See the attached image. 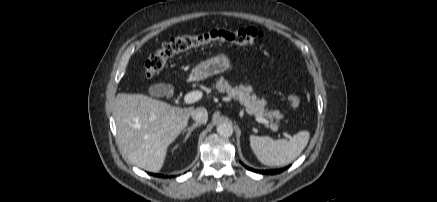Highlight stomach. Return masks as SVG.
<instances>
[{
    "label": "stomach",
    "instance_id": "obj_1",
    "mask_svg": "<svg viewBox=\"0 0 437 202\" xmlns=\"http://www.w3.org/2000/svg\"><path fill=\"white\" fill-rule=\"evenodd\" d=\"M230 60L224 54L200 62L191 72V79L202 80L215 74L223 73L229 68Z\"/></svg>",
    "mask_w": 437,
    "mask_h": 202
}]
</instances>
